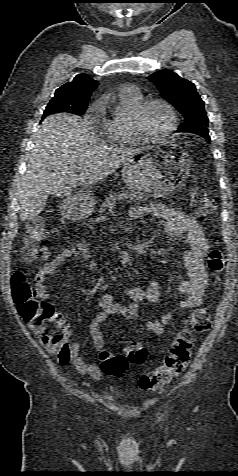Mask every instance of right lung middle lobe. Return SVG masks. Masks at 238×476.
<instances>
[{
	"label": "right lung middle lobe",
	"mask_w": 238,
	"mask_h": 476,
	"mask_svg": "<svg viewBox=\"0 0 238 476\" xmlns=\"http://www.w3.org/2000/svg\"><path fill=\"white\" fill-rule=\"evenodd\" d=\"M87 108L86 104H75L70 98L64 96L53 97L47 105L43 118L47 115L59 112L83 114Z\"/></svg>",
	"instance_id": "1"
}]
</instances>
